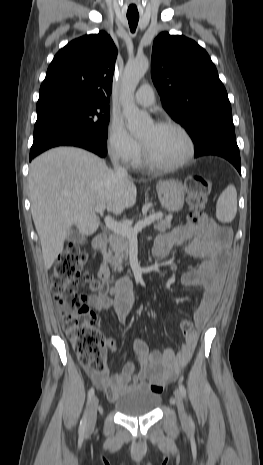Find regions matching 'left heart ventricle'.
Segmentation results:
<instances>
[{
	"label": "left heart ventricle",
	"instance_id": "b2bd125f",
	"mask_svg": "<svg viewBox=\"0 0 263 465\" xmlns=\"http://www.w3.org/2000/svg\"><path fill=\"white\" fill-rule=\"evenodd\" d=\"M140 139L151 155L161 163H175L187 153L186 139L174 128L150 125L143 131Z\"/></svg>",
	"mask_w": 263,
	"mask_h": 465
}]
</instances>
